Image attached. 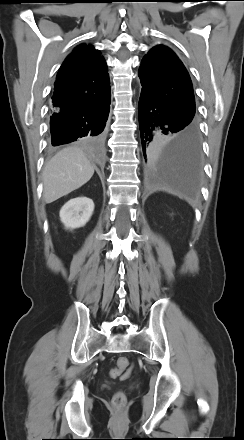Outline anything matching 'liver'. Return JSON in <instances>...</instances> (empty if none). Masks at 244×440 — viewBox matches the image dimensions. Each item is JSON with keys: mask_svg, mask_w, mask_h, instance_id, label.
I'll return each mask as SVG.
<instances>
[{"mask_svg": "<svg viewBox=\"0 0 244 440\" xmlns=\"http://www.w3.org/2000/svg\"><path fill=\"white\" fill-rule=\"evenodd\" d=\"M93 174L94 167L80 148L62 149L46 163L43 170L45 202L52 203L80 188L91 179Z\"/></svg>", "mask_w": 244, "mask_h": 440, "instance_id": "liver-1", "label": "liver"}]
</instances>
